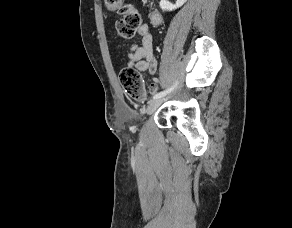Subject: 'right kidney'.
I'll return each instance as SVG.
<instances>
[{"label":"right kidney","mask_w":292,"mask_h":228,"mask_svg":"<svg viewBox=\"0 0 292 228\" xmlns=\"http://www.w3.org/2000/svg\"><path fill=\"white\" fill-rule=\"evenodd\" d=\"M187 0H177L176 4L170 3L168 0H161L160 1V8L163 11H172L179 7H181Z\"/></svg>","instance_id":"ca27d5eb"}]
</instances>
